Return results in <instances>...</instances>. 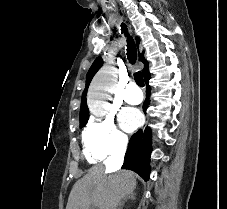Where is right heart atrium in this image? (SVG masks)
Segmentation results:
<instances>
[{
  "label": "right heart atrium",
  "mask_w": 227,
  "mask_h": 209,
  "mask_svg": "<svg viewBox=\"0 0 227 209\" xmlns=\"http://www.w3.org/2000/svg\"><path fill=\"white\" fill-rule=\"evenodd\" d=\"M128 137L119 129L112 118H92L82 132V145L86 158L102 161L125 152Z\"/></svg>",
  "instance_id": "obj_1"
}]
</instances>
